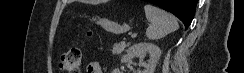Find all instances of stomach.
<instances>
[{"label": "stomach", "mask_w": 244, "mask_h": 73, "mask_svg": "<svg viewBox=\"0 0 244 73\" xmlns=\"http://www.w3.org/2000/svg\"><path fill=\"white\" fill-rule=\"evenodd\" d=\"M97 22L106 31L114 33V34L126 33L131 28L130 25L127 23L120 24V23L110 20L108 18H99Z\"/></svg>", "instance_id": "obj_1"}]
</instances>
